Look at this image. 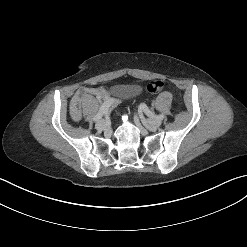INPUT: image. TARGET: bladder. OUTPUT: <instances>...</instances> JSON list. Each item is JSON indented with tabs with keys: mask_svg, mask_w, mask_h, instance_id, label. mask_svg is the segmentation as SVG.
Returning a JSON list of instances; mask_svg holds the SVG:
<instances>
[{
	"mask_svg": "<svg viewBox=\"0 0 247 247\" xmlns=\"http://www.w3.org/2000/svg\"><path fill=\"white\" fill-rule=\"evenodd\" d=\"M139 91V86L137 84H126L121 85L117 88L116 94L121 99H127L135 96Z\"/></svg>",
	"mask_w": 247,
	"mask_h": 247,
	"instance_id": "bladder-1",
	"label": "bladder"
}]
</instances>
